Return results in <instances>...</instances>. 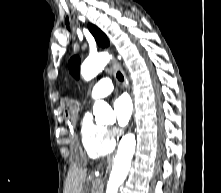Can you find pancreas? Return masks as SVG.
Listing matches in <instances>:
<instances>
[{
  "instance_id": "cf45deb5",
  "label": "pancreas",
  "mask_w": 221,
  "mask_h": 193,
  "mask_svg": "<svg viewBox=\"0 0 221 193\" xmlns=\"http://www.w3.org/2000/svg\"><path fill=\"white\" fill-rule=\"evenodd\" d=\"M94 184H95V188H96V190H97L96 193H102L101 190H100L101 187H100V182H99L98 179H96V180L94 181Z\"/></svg>"
}]
</instances>
